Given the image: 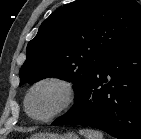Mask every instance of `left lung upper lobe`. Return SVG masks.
I'll use <instances>...</instances> for the list:
<instances>
[{"label": "left lung upper lobe", "mask_w": 141, "mask_h": 139, "mask_svg": "<svg viewBox=\"0 0 141 139\" xmlns=\"http://www.w3.org/2000/svg\"><path fill=\"white\" fill-rule=\"evenodd\" d=\"M141 28L136 0H77L53 12L28 43L20 86L47 77L74 84L75 101L105 56Z\"/></svg>", "instance_id": "obj_1"}]
</instances>
